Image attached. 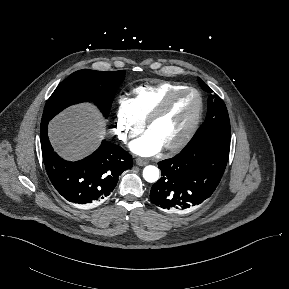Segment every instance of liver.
I'll use <instances>...</instances> for the list:
<instances>
[{
	"mask_svg": "<svg viewBox=\"0 0 289 289\" xmlns=\"http://www.w3.org/2000/svg\"><path fill=\"white\" fill-rule=\"evenodd\" d=\"M104 135L102 117L91 104L72 106L49 123L52 145L68 160H78L90 154Z\"/></svg>",
	"mask_w": 289,
	"mask_h": 289,
	"instance_id": "6515ba94",
	"label": "liver"
}]
</instances>
